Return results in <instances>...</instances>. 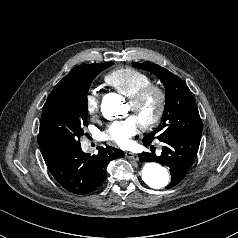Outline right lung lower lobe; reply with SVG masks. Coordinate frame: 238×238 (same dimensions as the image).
<instances>
[{"label":"right lung lower lobe","instance_id":"obj_1","mask_svg":"<svg viewBox=\"0 0 238 238\" xmlns=\"http://www.w3.org/2000/svg\"><path fill=\"white\" fill-rule=\"evenodd\" d=\"M97 155L84 153L81 146L45 161L50 173L67 191L85 195L96 191L106 179L108 163L124 157L123 151L111 146L100 147Z\"/></svg>","mask_w":238,"mask_h":238}]
</instances>
